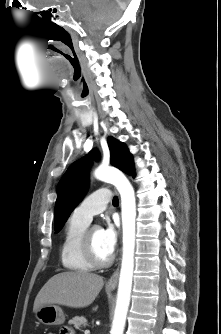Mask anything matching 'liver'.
Here are the masks:
<instances>
[{
  "label": "liver",
  "mask_w": 221,
  "mask_h": 334,
  "mask_svg": "<svg viewBox=\"0 0 221 334\" xmlns=\"http://www.w3.org/2000/svg\"><path fill=\"white\" fill-rule=\"evenodd\" d=\"M103 285V277L94 273L69 271L56 274L37 294L33 311L51 304L72 308L87 307L93 303Z\"/></svg>",
  "instance_id": "liver-1"
}]
</instances>
